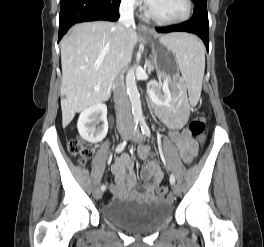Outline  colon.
I'll list each match as a JSON object with an SVG mask.
<instances>
[{"mask_svg":"<svg viewBox=\"0 0 264 247\" xmlns=\"http://www.w3.org/2000/svg\"><path fill=\"white\" fill-rule=\"evenodd\" d=\"M189 130L197 140L203 144L205 140L206 120L203 116H198L192 120L189 126ZM69 151L75 156L80 163L85 164L93 155V149L89 145L85 144L79 139L72 140L69 143ZM157 195L159 198H167L170 195V191L167 187H159L157 189Z\"/></svg>","mask_w":264,"mask_h":247,"instance_id":"5ec220e1","label":"colon"}]
</instances>
